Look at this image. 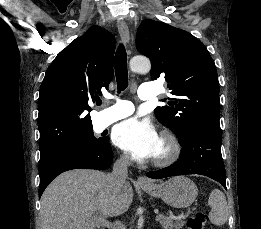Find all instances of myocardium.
Returning a JSON list of instances; mask_svg holds the SVG:
<instances>
[{
	"label": "myocardium",
	"instance_id": "f54148a6",
	"mask_svg": "<svg viewBox=\"0 0 261 229\" xmlns=\"http://www.w3.org/2000/svg\"><path fill=\"white\" fill-rule=\"evenodd\" d=\"M160 141L163 144V152L153 157L152 165L167 167L178 160L181 148L175 135L168 130L161 133Z\"/></svg>",
	"mask_w": 261,
	"mask_h": 229
}]
</instances>
